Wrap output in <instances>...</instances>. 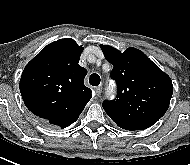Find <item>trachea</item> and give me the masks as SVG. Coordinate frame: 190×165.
<instances>
[{
  "label": "trachea",
  "mask_w": 190,
  "mask_h": 165,
  "mask_svg": "<svg viewBox=\"0 0 190 165\" xmlns=\"http://www.w3.org/2000/svg\"><path fill=\"white\" fill-rule=\"evenodd\" d=\"M89 83L92 86H98L100 83V76L96 73L92 74L89 78Z\"/></svg>",
  "instance_id": "trachea-1"
}]
</instances>
